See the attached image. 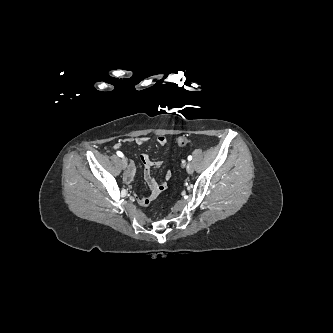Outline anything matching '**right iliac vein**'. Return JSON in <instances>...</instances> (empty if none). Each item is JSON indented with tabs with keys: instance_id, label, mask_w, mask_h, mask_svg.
<instances>
[{
	"instance_id": "63e3f726",
	"label": "right iliac vein",
	"mask_w": 333,
	"mask_h": 333,
	"mask_svg": "<svg viewBox=\"0 0 333 333\" xmlns=\"http://www.w3.org/2000/svg\"><path fill=\"white\" fill-rule=\"evenodd\" d=\"M121 166H122L123 169H126V167H127V161H126L125 158H123V159L121 160Z\"/></svg>"
}]
</instances>
